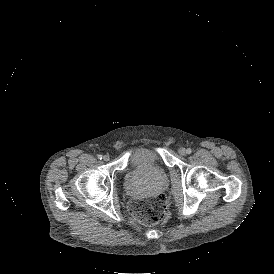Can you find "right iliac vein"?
Returning <instances> with one entry per match:
<instances>
[{
	"label": "right iliac vein",
	"mask_w": 274,
	"mask_h": 274,
	"mask_svg": "<svg viewBox=\"0 0 274 274\" xmlns=\"http://www.w3.org/2000/svg\"><path fill=\"white\" fill-rule=\"evenodd\" d=\"M103 160H104L105 162L109 161V160H110V156H109L108 154H105V155L103 156Z\"/></svg>",
	"instance_id": "obj_1"
}]
</instances>
